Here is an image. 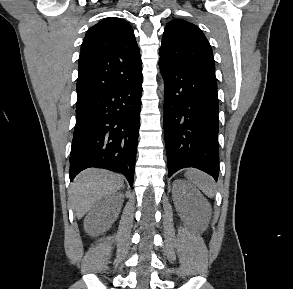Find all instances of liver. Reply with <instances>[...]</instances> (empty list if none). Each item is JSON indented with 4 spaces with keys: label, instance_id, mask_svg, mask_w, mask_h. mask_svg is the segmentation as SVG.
Wrapping results in <instances>:
<instances>
[{
    "label": "liver",
    "instance_id": "1",
    "mask_svg": "<svg viewBox=\"0 0 293 289\" xmlns=\"http://www.w3.org/2000/svg\"><path fill=\"white\" fill-rule=\"evenodd\" d=\"M124 184L119 174L104 169L82 171L70 186L71 206L78 219L103 196L118 191Z\"/></svg>",
    "mask_w": 293,
    "mask_h": 289
}]
</instances>
